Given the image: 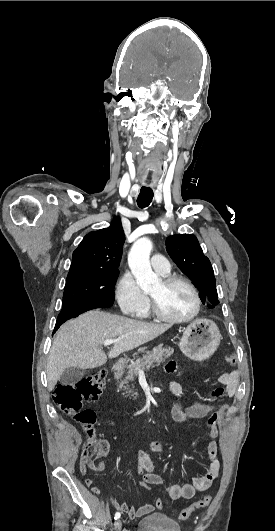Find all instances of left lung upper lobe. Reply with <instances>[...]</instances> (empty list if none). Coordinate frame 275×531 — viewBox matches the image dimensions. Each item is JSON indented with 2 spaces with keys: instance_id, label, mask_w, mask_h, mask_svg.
<instances>
[{
  "instance_id": "obj_1",
  "label": "left lung upper lobe",
  "mask_w": 275,
  "mask_h": 531,
  "mask_svg": "<svg viewBox=\"0 0 275 531\" xmlns=\"http://www.w3.org/2000/svg\"><path fill=\"white\" fill-rule=\"evenodd\" d=\"M166 249L180 270L186 274L200 291L203 302L209 307L219 304L216 283L210 260L203 254L196 236L177 234L166 239Z\"/></svg>"
}]
</instances>
